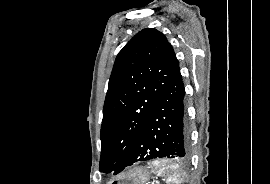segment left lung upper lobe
<instances>
[{
    "instance_id": "5c2ea615",
    "label": "left lung upper lobe",
    "mask_w": 270,
    "mask_h": 184,
    "mask_svg": "<svg viewBox=\"0 0 270 184\" xmlns=\"http://www.w3.org/2000/svg\"><path fill=\"white\" fill-rule=\"evenodd\" d=\"M178 69L171 44L154 28L138 32L119 52L103 108L101 172L117 174L123 170Z\"/></svg>"
}]
</instances>
